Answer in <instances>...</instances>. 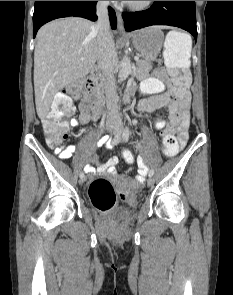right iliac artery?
Wrapping results in <instances>:
<instances>
[{
    "label": "right iliac artery",
    "mask_w": 233,
    "mask_h": 295,
    "mask_svg": "<svg viewBox=\"0 0 233 295\" xmlns=\"http://www.w3.org/2000/svg\"><path fill=\"white\" fill-rule=\"evenodd\" d=\"M121 140V137L120 135H116L114 138H113V142H111V147L114 146V145H117ZM80 177H83L84 176V173L83 172H80L79 174Z\"/></svg>",
    "instance_id": "1"
}]
</instances>
